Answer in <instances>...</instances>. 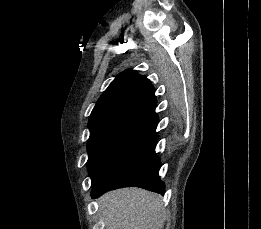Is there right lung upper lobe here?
<instances>
[{
  "mask_svg": "<svg viewBox=\"0 0 261 229\" xmlns=\"http://www.w3.org/2000/svg\"><path fill=\"white\" fill-rule=\"evenodd\" d=\"M150 81L133 70L119 74L99 98L89 118L88 147L127 149L139 130H155L158 116Z\"/></svg>",
  "mask_w": 261,
  "mask_h": 229,
  "instance_id": "right-lung-upper-lobe-1",
  "label": "right lung upper lobe"
}]
</instances>
